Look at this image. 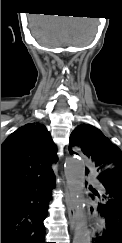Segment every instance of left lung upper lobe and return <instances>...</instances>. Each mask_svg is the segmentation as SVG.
Instances as JSON below:
<instances>
[{"instance_id":"1","label":"left lung upper lobe","mask_w":122,"mask_h":243,"mask_svg":"<svg viewBox=\"0 0 122 243\" xmlns=\"http://www.w3.org/2000/svg\"><path fill=\"white\" fill-rule=\"evenodd\" d=\"M76 151L83 152L97 172L122 170V151L92 125H79L71 133L69 152L77 154ZM117 214L122 217V206Z\"/></svg>"}]
</instances>
